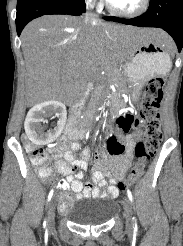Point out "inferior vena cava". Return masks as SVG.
Returning <instances> with one entry per match:
<instances>
[{"mask_svg":"<svg viewBox=\"0 0 183 246\" xmlns=\"http://www.w3.org/2000/svg\"><path fill=\"white\" fill-rule=\"evenodd\" d=\"M91 1L92 0H88V2H87V10L88 11L86 12L85 18L87 21H96L98 16H97V14L92 12L93 6L91 5Z\"/></svg>","mask_w":183,"mask_h":246,"instance_id":"obj_1","label":"inferior vena cava"}]
</instances>
